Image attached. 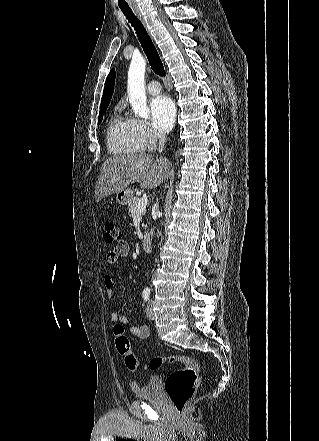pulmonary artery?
Instances as JSON below:
<instances>
[{
    "label": "pulmonary artery",
    "mask_w": 319,
    "mask_h": 441,
    "mask_svg": "<svg viewBox=\"0 0 319 441\" xmlns=\"http://www.w3.org/2000/svg\"><path fill=\"white\" fill-rule=\"evenodd\" d=\"M147 91L152 95H156V94L160 93L161 86H160L159 82L156 80L149 82V84L147 86Z\"/></svg>",
    "instance_id": "obj_1"
}]
</instances>
